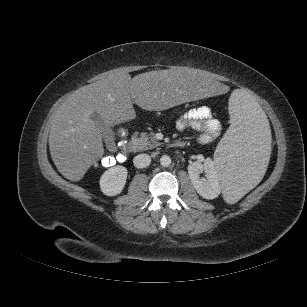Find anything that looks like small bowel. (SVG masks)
<instances>
[{"label": "small bowel", "instance_id": "1", "mask_svg": "<svg viewBox=\"0 0 307 307\" xmlns=\"http://www.w3.org/2000/svg\"><path fill=\"white\" fill-rule=\"evenodd\" d=\"M179 131L191 129L201 133L199 141L209 143L221 133V123L212 116L211 110L206 106L191 109L176 122Z\"/></svg>", "mask_w": 307, "mask_h": 307}]
</instances>
